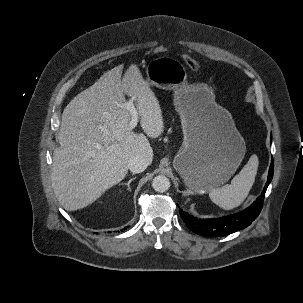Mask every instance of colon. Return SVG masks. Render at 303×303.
<instances>
[{"label": "colon", "mask_w": 303, "mask_h": 303, "mask_svg": "<svg viewBox=\"0 0 303 303\" xmlns=\"http://www.w3.org/2000/svg\"><path fill=\"white\" fill-rule=\"evenodd\" d=\"M166 51H167V48L163 45H159L154 48L155 54H162V53H165ZM183 60H184L185 64L187 65V67H189L191 70L198 71L200 69L199 61L196 60L195 58H193L192 56H190L188 54H184Z\"/></svg>", "instance_id": "5ec220e1"}]
</instances>
